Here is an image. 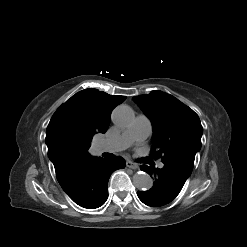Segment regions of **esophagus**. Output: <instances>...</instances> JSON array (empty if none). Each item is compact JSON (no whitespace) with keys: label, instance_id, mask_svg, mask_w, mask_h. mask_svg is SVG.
I'll use <instances>...</instances> for the list:
<instances>
[{"label":"esophagus","instance_id":"obj_1","mask_svg":"<svg viewBox=\"0 0 247 247\" xmlns=\"http://www.w3.org/2000/svg\"><path fill=\"white\" fill-rule=\"evenodd\" d=\"M126 166H127L128 168H131V169H137V168H138L137 164H136V163H133V162H131V161H127V162H126Z\"/></svg>","mask_w":247,"mask_h":247}]
</instances>
